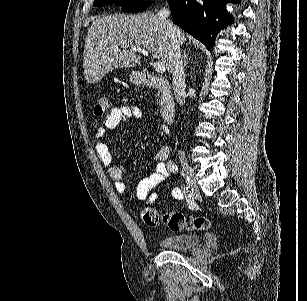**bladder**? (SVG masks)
<instances>
[{"mask_svg":"<svg viewBox=\"0 0 307 301\" xmlns=\"http://www.w3.org/2000/svg\"><path fill=\"white\" fill-rule=\"evenodd\" d=\"M201 238L192 234L177 233L169 237H163L158 241V244L164 250H188L191 246L197 245Z\"/></svg>","mask_w":307,"mask_h":301,"instance_id":"obj_1","label":"bladder"}]
</instances>
